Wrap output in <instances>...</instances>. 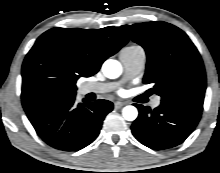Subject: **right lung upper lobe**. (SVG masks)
<instances>
[{
  "mask_svg": "<svg viewBox=\"0 0 220 173\" xmlns=\"http://www.w3.org/2000/svg\"><path fill=\"white\" fill-rule=\"evenodd\" d=\"M128 38L115 27L52 28L43 33L22 66V104L28 109L44 100L72 95L80 77L98 72Z\"/></svg>",
  "mask_w": 220,
  "mask_h": 173,
  "instance_id": "cb5924a9",
  "label": "right lung upper lobe"
}]
</instances>
